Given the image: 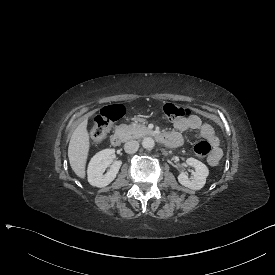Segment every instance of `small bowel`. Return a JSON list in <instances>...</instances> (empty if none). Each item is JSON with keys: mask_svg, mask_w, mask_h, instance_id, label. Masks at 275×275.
I'll return each mask as SVG.
<instances>
[{"mask_svg": "<svg viewBox=\"0 0 275 275\" xmlns=\"http://www.w3.org/2000/svg\"><path fill=\"white\" fill-rule=\"evenodd\" d=\"M175 128L178 132L169 134V135H177L181 140L180 132H184L187 130H199L200 136L209 141L213 146V151L209 157V163L215 165L218 163L222 156V151L219 147V140L215 136L213 128L206 123H202L201 119L197 115H191L186 119H179L174 122Z\"/></svg>", "mask_w": 275, "mask_h": 275, "instance_id": "1", "label": "small bowel"}]
</instances>
